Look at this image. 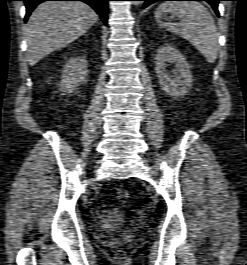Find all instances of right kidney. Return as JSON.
<instances>
[{
    "instance_id": "right-kidney-1",
    "label": "right kidney",
    "mask_w": 247,
    "mask_h": 265,
    "mask_svg": "<svg viewBox=\"0 0 247 265\" xmlns=\"http://www.w3.org/2000/svg\"><path fill=\"white\" fill-rule=\"evenodd\" d=\"M88 74L87 61L84 57L70 58L62 70L60 91L63 94L71 93L86 82Z\"/></svg>"
}]
</instances>
